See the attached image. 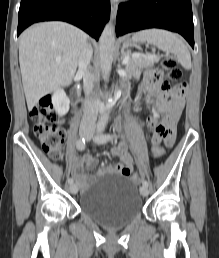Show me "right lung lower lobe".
I'll return each instance as SVG.
<instances>
[{
	"instance_id": "obj_1",
	"label": "right lung lower lobe",
	"mask_w": 219,
	"mask_h": 258,
	"mask_svg": "<svg viewBox=\"0 0 219 258\" xmlns=\"http://www.w3.org/2000/svg\"><path fill=\"white\" fill-rule=\"evenodd\" d=\"M109 17V0H21L17 36L33 23L61 20L98 40Z\"/></svg>"
}]
</instances>
